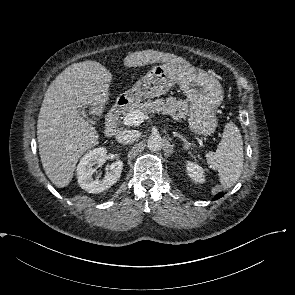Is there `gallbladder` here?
Listing matches in <instances>:
<instances>
[{"label":"gallbladder","mask_w":295,"mask_h":295,"mask_svg":"<svg viewBox=\"0 0 295 295\" xmlns=\"http://www.w3.org/2000/svg\"><path fill=\"white\" fill-rule=\"evenodd\" d=\"M79 112H80L81 114H83L84 116H86V115H85V112H84L83 109H79Z\"/></svg>","instance_id":"gallbladder-1"}]
</instances>
